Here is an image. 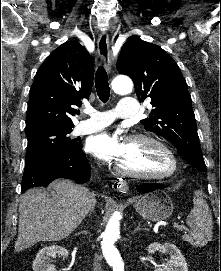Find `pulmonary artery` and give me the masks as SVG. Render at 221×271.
Wrapping results in <instances>:
<instances>
[{"label": "pulmonary artery", "mask_w": 221, "mask_h": 271, "mask_svg": "<svg viewBox=\"0 0 221 271\" xmlns=\"http://www.w3.org/2000/svg\"><path fill=\"white\" fill-rule=\"evenodd\" d=\"M136 98H121V107L113 108V111L120 112V117H137V112L141 111L140 103L136 102ZM113 112H90L88 121H83V126L79 127L78 132L82 135L93 133L109 126V122H120V117H113ZM83 119V118H80ZM84 126H96L87 128Z\"/></svg>", "instance_id": "obj_1"}]
</instances>
